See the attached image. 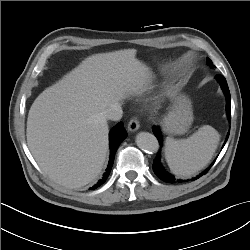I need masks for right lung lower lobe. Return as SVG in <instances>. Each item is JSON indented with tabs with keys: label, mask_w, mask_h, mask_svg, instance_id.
Here are the masks:
<instances>
[{
	"label": "right lung lower lobe",
	"mask_w": 250,
	"mask_h": 250,
	"mask_svg": "<svg viewBox=\"0 0 250 250\" xmlns=\"http://www.w3.org/2000/svg\"><path fill=\"white\" fill-rule=\"evenodd\" d=\"M127 137V133L125 129L123 128L122 122H119L116 126L112 128V130L109 133V140H110V160L109 164L106 168L105 173L103 174V177L98 181L97 184H95L91 189H96L97 187L101 186L106 179L108 178L111 168L114 162V157L117 148L119 147L120 143Z\"/></svg>",
	"instance_id": "98d812e1"
}]
</instances>
